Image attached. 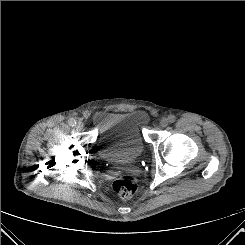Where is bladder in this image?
<instances>
[{
	"mask_svg": "<svg viewBox=\"0 0 245 245\" xmlns=\"http://www.w3.org/2000/svg\"><path fill=\"white\" fill-rule=\"evenodd\" d=\"M93 121L98 129L100 154L105 161H132L144 151L143 129L148 122L145 110L100 111Z\"/></svg>",
	"mask_w": 245,
	"mask_h": 245,
	"instance_id": "obj_1",
	"label": "bladder"
}]
</instances>
